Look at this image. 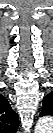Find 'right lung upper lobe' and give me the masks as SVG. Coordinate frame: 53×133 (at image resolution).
<instances>
[{"label":"right lung upper lobe","instance_id":"obj_1","mask_svg":"<svg viewBox=\"0 0 53 133\" xmlns=\"http://www.w3.org/2000/svg\"><path fill=\"white\" fill-rule=\"evenodd\" d=\"M19 125L18 115L7 99L0 95V129L6 133H15Z\"/></svg>","mask_w":53,"mask_h":133}]
</instances>
